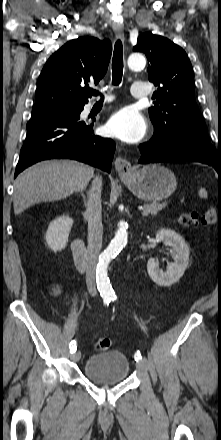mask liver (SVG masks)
<instances>
[{
  "label": "liver",
  "mask_w": 221,
  "mask_h": 440,
  "mask_svg": "<svg viewBox=\"0 0 221 440\" xmlns=\"http://www.w3.org/2000/svg\"><path fill=\"white\" fill-rule=\"evenodd\" d=\"M93 173L92 167L70 160L43 161L29 167L14 182V213L18 215L34 204L61 200L84 190Z\"/></svg>",
  "instance_id": "liver-1"
}]
</instances>
